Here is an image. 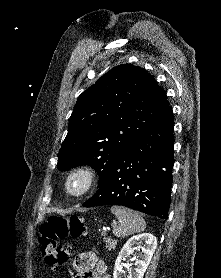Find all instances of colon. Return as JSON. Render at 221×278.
I'll return each mask as SVG.
<instances>
[{
	"label": "colon",
	"instance_id": "1",
	"mask_svg": "<svg viewBox=\"0 0 221 278\" xmlns=\"http://www.w3.org/2000/svg\"><path fill=\"white\" fill-rule=\"evenodd\" d=\"M85 235L86 227L80 217L51 216L39 231L38 244L44 262L54 269H60L71 254L70 248L61 241L68 237L80 238Z\"/></svg>",
	"mask_w": 221,
	"mask_h": 278
}]
</instances>
